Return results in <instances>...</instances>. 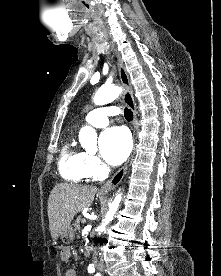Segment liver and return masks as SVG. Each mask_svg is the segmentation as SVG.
<instances>
[{
    "mask_svg": "<svg viewBox=\"0 0 221 276\" xmlns=\"http://www.w3.org/2000/svg\"><path fill=\"white\" fill-rule=\"evenodd\" d=\"M97 188L76 184L61 183L56 185L48 200L49 229L53 240L71 224L74 216L89 207L95 197Z\"/></svg>",
    "mask_w": 221,
    "mask_h": 276,
    "instance_id": "liver-1",
    "label": "liver"
}]
</instances>
